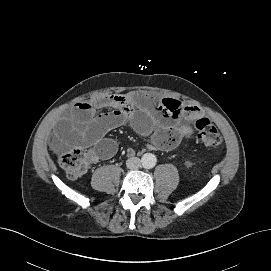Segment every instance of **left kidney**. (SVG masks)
<instances>
[{
  "label": "left kidney",
  "instance_id": "left-kidney-1",
  "mask_svg": "<svg viewBox=\"0 0 271 271\" xmlns=\"http://www.w3.org/2000/svg\"><path fill=\"white\" fill-rule=\"evenodd\" d=\"M186 165H187V166H191L192 163H191L190 161H186Z\"/></svg>",
  "mask_w": 271,
  "mask_h": 271
}]
</instances>
